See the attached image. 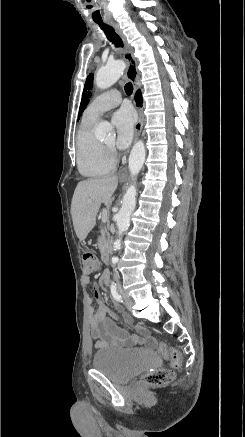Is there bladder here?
I'll return each instance as SVG.
<instances>
[{"mask_svg":"<svg viewBox=\"0 0 245 437\" xmlns=\"http://www.w3.org/2000/svg\"><path fill=\"white\" fill-rule=\"evenodd\" d=\"M157 356L147 350L105 348L95 353L92 367L112 382L125 384L135 376L153 368Z\"/></svg>","mask_w":245,"mask_h":437,"instance_id":"bladder-1","label":"bladder"}]
</instances>
